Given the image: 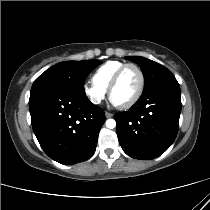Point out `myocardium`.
<instances>
[{
  "label": "myocardium",
  "instance_id": "f54148a6",
  "mask_svg": "<svg viewBox=\"0 0 210 210\" xmlns=\"http://www.w3.org/2000/svg\"><path fill=\"white\" fill-rule=\"evenodd\" d=\"M129 67L135 68L137 70V72L139 73L140 85H139L137 93L135 94V96L130 101H128L124 104H121V105L116 104V107L119 108V109H129L132 106H134L140 100V98L142 97V95L144 93V89H145L146 78H145V74H144L143 70L141 69V67L138 66L135 63H125L121 67H119V69L115 72V74H114V76H113V78H112V80L109 84L108 95H109L110 100L112 101V99H111L112 92L115 89V87L117 86L122 73L124 72L125 69H127Z\"/></svg>",
  "mask_w": 210,
  "mask_h": 210
}]
</instances>
